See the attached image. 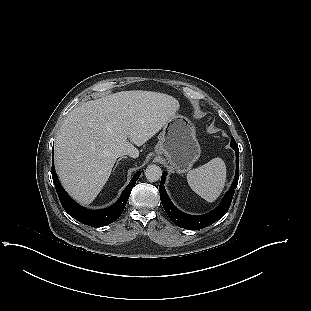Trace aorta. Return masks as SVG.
Wrapping results in <instances>:
<instances>
[{"label":"aorta","mask_w":311,"mask_h":311,"mask_svg":"<svg viewBox=\"0 0 311 311\" xmlns=\"http://www.w3.org/2000/svg\"><path fill=\"white\" fill-rule=\"evenodd\" d=\"M162 176V170L157 165H149L145 170V177L150 182L158 181Z\"/></svg>","instance_id":"obj_1"}]
</instances>
